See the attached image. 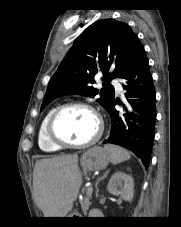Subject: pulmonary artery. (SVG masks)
I'll return each instance as SVG.
<instances>
[{"label":"pulmonary artery","mask_w":181,"mask_h":227,"mask_svg":"<svg viewBox=\"0 0 181 227\" xmlns=\"http://www.w3.org/2000/svg\"><path fill=\"white\" fill-rule=\"evenodd\" d=\"M114 84H115L116 91L118 93L122 92V87H121L120 83H118L117 80H114Z\"/></svg>","instance_id":"obj_1"}]
</instances>
